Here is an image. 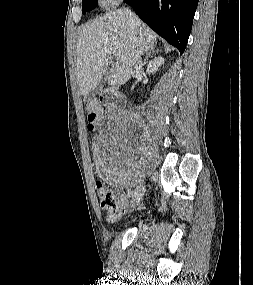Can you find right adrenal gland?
I'll list each match as a JSON object with an SVG mask.
<instances>
[{
    "label": "right adrenal gland",
    "instance_id": "right-adrenal-gland-1",
    "mask_svg": "<svg viewBox=\"0 0 253 285\" xmlns=\"http://www.w3.org/2000/svg\"><path fill=\"white\" fill-rule=\"evenodd\" d=\"M154 52H157V53H158V52H160V50H159V49H156L155 46L150 47V49L148 50V52H147V54H146V57L144 58V62L142 63V66L146 65L147 60H148V57H149L152 53H154Z\"/></svg>",
    "mask_w": 253,
    "mask_h": 285
}]
</instances>
